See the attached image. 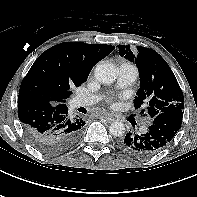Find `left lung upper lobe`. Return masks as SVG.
I'll return each mask as SVG.
<instances>
[{
    "label": "left lung upper lobe",
    "mask_w": 197,
    "mask_h": 197,
    "mask_svg": "<svg viewBox=\"0 0 197 197\" xmlns=\"http://www.w3.org/2000/svg\"><path fill=\"white\" fill-rule=\"evenodd\" d=\"M119 54L136 63L140 75V88L135 97V108L145 105L151 119L160 113L183 110L182 90L167 62L154 50L139 46L132 52L130 45H118Z\"/></svg>",
    "instance_id": "5c2ea615"
}]
</instances>
